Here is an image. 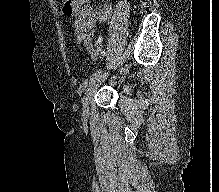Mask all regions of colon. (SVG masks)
I'll return each mask as SVG.
<instances>
[{
  "instance_id": "1",
  "label": "colon",
  "mask_w": 219,
  "mask_h": 192,
  "mask_svg": "<svg viewBox=\"0 0 219 192\" xmlns=\"http://www.w3.org/2000/svg\"><path fill=\"white\" fill-rule=\"evenodd\" d=\"M91 52L101 53L102 52V40L99 37H96L91 42Z\"/></svg>"
}]
</instances>
